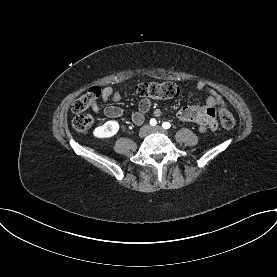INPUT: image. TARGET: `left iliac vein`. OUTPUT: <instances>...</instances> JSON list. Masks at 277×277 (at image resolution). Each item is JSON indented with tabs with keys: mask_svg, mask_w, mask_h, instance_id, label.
Segmentation results:
<instances>
[{
	"mask_svg": "<svg viewBox=\"0 0 277 277\" xmlns=\"http://www.w3.org/2000/svg\"><path fill=\"white\" fill-rule=\"evenodd\" d=\"M150 132H159V133H163V134H168V131L163 129L162 127L160 126H155V127H152L150 129Z\"/></svg>",
	"mask_w": 277,
	"mask_h": 277,
	"instance_id": "1",
	"label": "left iliac vein"
}]
</instances>
